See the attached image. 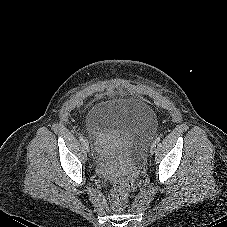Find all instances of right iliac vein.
Listing matches in <instances>:
<instances>
[{"label":"right iliac vein","mask_w":227,"mask_h":227,"mask_svg":"<svg viewBox=\"0 0 227 227\" xmlns=\"http://www.w3.org/2000/svg\"><path fill=\"white\" fill-rule=\"evenodd\" d=\"M82 146L87 152L89 151V143L87 140H85V139L83 140Z\"/></svg>","instance_id":"1"}]
</instances>
